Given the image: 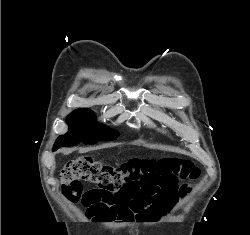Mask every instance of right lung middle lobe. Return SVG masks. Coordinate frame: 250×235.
Returning <instances> with one entry per match:
<instances>
[{
	"label": "right lung middle lobe",
	"mask_w": 250,
	"mask_h": 235,
	"mask_svg": "<svg viewBox=\"0 0 250 235\" xmlns=\"http://www.w3.org/2000/svg\"><path fill=\"white\" fill-rule=\"evenodd\" d=\"M69 131L65 135H60L54 147L57 149L63 146H73L79 142L84 144H94L98 141L115 140L118 131L108 129L104 125L95 122V117L89 109H78L67 117Z\"/></svg>",
	"instance_id": "obj_1"
}]
</instances>
